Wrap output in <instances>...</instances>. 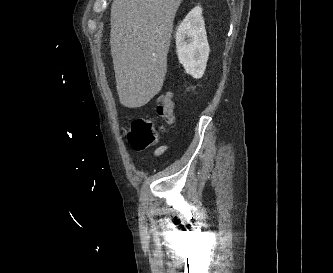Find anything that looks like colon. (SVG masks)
Returning a JSON list of instances; mask_svg holds the SVG:
<instances>
[{"label": "colon", "mask_w": 333, "mask_h": 273, "mask_svg": "<svg viewBox=\"0 0 333 273\" xmlns=\"http://www.w3.org/2000/svg\"><path fill=\"white\" fill-rule=\"evenodd\" d=\"M173 111L172 95L170 93L160 95L156 101L157 117L164 124H170L174 118ZM163 130V125L158 124L155 120L138 118L130 123L125 134L131 147L136 151H141L152 146Z\"/></svg>", "instance_id": "obj_1"}]
</instances>
